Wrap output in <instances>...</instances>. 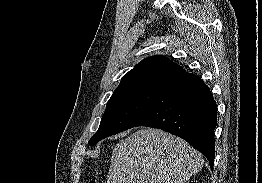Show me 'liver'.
<instances>
[{
    "mask_svg": "<svg viewBox=\"0 0 262 183\" xmlns=\"http://www.w3.org/2000/svg\"><path fill=\"white\" fill-rule=\"evenodd\" d=\"M203 162L183 139L159 129H140L113 149L107 183H184Z\"/></svg>",
    "mask_w": 262,
    "mask_h": 183,
    "instance_id": "6515ba94",
    "label": "liver"
}]
</instances>
